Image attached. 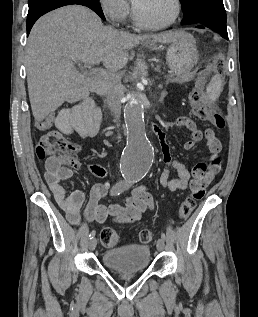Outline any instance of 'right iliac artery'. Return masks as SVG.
Instances as JSON below:
<instances>
[{"mask_svg": "<svg viewBox=\"0 0 258 317\" xmlns=\"http://www.w3.org/2000/svg\"><path fill=\"white\" fill-rule=\"evenodd\" d=\"M133 184L132 178H125L124 180L118 181L116 184L113 185L111 189V195H119L125 190L129 189ZM95 230H92L89 234L90 239L95 236Z\"/></svg>", "mask_w": 258, "mask_h": 317, "instance_id": "right-iliac-artery-1", "label": "right iliac artery"}]
</instances>
